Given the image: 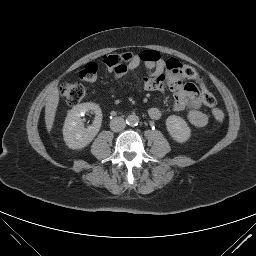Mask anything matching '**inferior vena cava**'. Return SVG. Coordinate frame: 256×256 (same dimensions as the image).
Here are the masks:
<instances>
[{
    "instance_id": "602c4592",
    "label": "inferior vena cava",
    "mask_w": 256,
    "mask_h": 256,
    "mask_svg": "<svg viewBox=\"0 0 256 256\" xmlns=\"http://www.w3.org/2000/svg\"><path fill=\"white\" fill-rule=\"evenodd\" d=\"M126 124L123 118L115 117L110 121V128L114 132H119L125 128Z\"/></svg>"
}]
</instances>
